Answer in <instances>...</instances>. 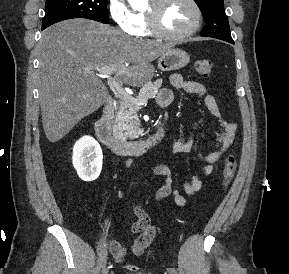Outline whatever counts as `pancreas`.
Instances as JSON below:
<instances>
[{
  "label": "pancreas",
  "mask_w": 289,
  "mask_h": 274,
  "mask_svg": "<svg viewBox=\"0 0 289 274\" xmlns=\"http://www.w3.org/2000/svg\"><path fill=\"white\" fill-rule=\"evenodd\" d=\"M161 86L162 80L149 82L141 88L138 97L120 99L115 116V129L117 135H122L130 139L138 138L141 135V130L139 128L140 121L137 115V111L140 107L134 100L155 98ZM124 131H126V133H123Z\"/></svg>",
  "instance_id": "cf45deb5"
}]
</instances>
